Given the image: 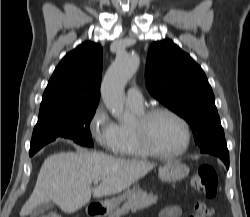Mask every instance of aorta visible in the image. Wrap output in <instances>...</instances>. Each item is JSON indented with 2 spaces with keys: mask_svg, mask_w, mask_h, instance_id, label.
I'll use <instances>...</instances> for the list:
<instances>
[{
  "mask_svg": "<svg viewBox=\"0 0 250 217\" xmlns=\"http://www.w3.org/2000/svg\"><path fill=\"white\" fill-rule=\"evenodd\" d=\"M139 63V57L134 53L117 55L101 84V96L106 108L124 122L130 120V116L124 112V88L137 71Z\"/></svg>",
  "mask_w": 250,
  "mask_h": 217,
  "instance_id": "762f6f07",
  "label": "aorta"
}]
</instances>
